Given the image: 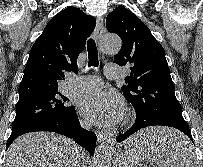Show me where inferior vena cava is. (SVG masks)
Segmentation results:
<instances>
[{
  "instance_id": "1",
  "label": "inferior vena cava",
  "mask_w": 203,
  "mask_h": 167,
  "mask_svg": "<svg viewBox=\"0 0 203 167\" xmlns=\"http://www.w3.org/2000/svg\"><path fill=\"white\" fill-rule=\"evenodd\" d=\"M83 126L86 128H89V125H87V124H83ZM83 167H86V166H83Z\"/></svg>"
}]
</instances>
